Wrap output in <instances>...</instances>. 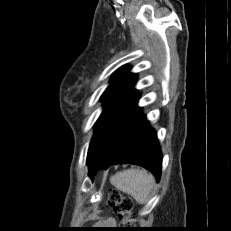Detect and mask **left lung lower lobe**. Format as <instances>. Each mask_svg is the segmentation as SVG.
<instances>
[{
    "mask_svg": "<svg viewBox=\"0 0 231 231\" xmlns=\"http://www.w3.org/2000/svg\"><path fill=\"white\" fill-rule=\"evenodd\" d=\"M139 96L109 123L92 148L87 157L91 178L100 168L132 163L149 169L157 181L160 179L162 154L155 130L136 105Z\"/></svg>",
    "mask_w": 231,
    "mask_h": 231,
    "instance_id": "obj_1",
    "label": "left lung lower lobe"
}]
</instances>
